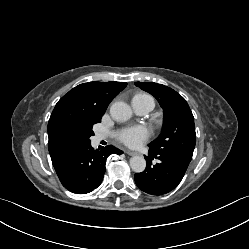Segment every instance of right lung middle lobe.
I'll return each mask as SVG.
<instances>
[{
  "mask_svg": "<svg viewBox=\"0 0 249 249\" xmlns=\"http://www.w3.org/2000/svg\"><path fill=\"white\" fill-rule=\"evenodd\" d=\"M93 135L94 133L92 131V128L86 130L82 137V146L90 144L91 143L90 137Z\"/></svg>",
  "mask_w": 249,
  "mask_h": 249,
  "instance_id": "dd1d6c3e",
  "label": "right lung middle lobe"
}]
</instances>
